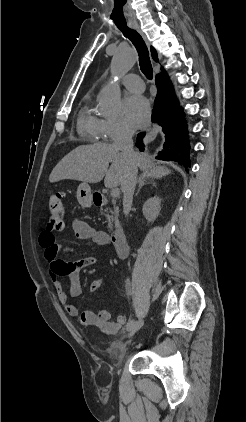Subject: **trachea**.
<instances>
[{"instance_id":"obj_1","label":"trachea","mask_w":246,"mask_h":422,"mask_svg":"<svg viewBox=\"0 0 246 422\" xmlns=\"http://www.w3.org/2000/svg\"><path fill=\"white\" fill-rule=\"evenodd\" d=\"M119 29L123 33V35L128 38L137 49L139 55V65L142 73L149 80H152L153 69L149 57V52L143 38L137 31L130 29L129 27H119Z\"/></svg>"}]
</instances>
